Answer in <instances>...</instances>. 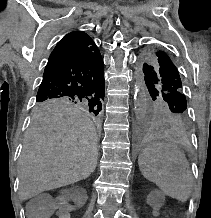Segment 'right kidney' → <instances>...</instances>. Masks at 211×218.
I'll list each match as a JSON object with an SVG mask.
<instances>
[{
    "instance_id": "1",
    "label": "right kidney",
    "mask_w": 211,
    "mask_h": 218,
    "mask_svg": "<svg viewBox=\"0 0 211 218\" xmlns=\"http://www.w3.org/2000/svg\"><path fill=\"white\" fill-rule=\"evenodd\" d=\"M53 202H62V198L53 197ZM70 214H73L72 201H70V198H65L62 206V213L58 216V218H72V215Z\"/></svg>"
}]
</instances>
